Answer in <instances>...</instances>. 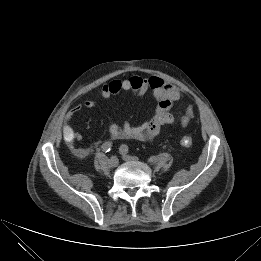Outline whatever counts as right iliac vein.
Returning a JSON list of instances; mask_svg holds the SVG:
<instances>
[{"label": "right iliac vein", "mask_w": 261, "mask_h": 261, "mask_svg": "<svg viewBox=\"0 0 261 261\" xmlns=\"http://www.w3.org/2000/svg\"><path fill=\"white\" fill-rule=\"evenodd\" d=\"M118 164H119V159L116 156H112L109 158L108 160L109 167L115 168L118 166Z\"/></svg>", "instance_id": "1"}]
</instances>
